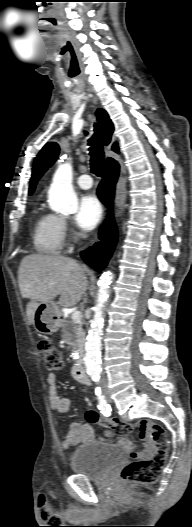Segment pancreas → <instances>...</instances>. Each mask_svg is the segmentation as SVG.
<instances>
[{"label":"pancreas","mask_w":192,"mask_h":527,"mask_svg":"<svg viewBox=\"0 0 192 527\" xmlns=\"http://www.w3.org/2000/svg\"><path fill=\"white\" fill-rule=\"evenodd\" d=\"M62 337L74 349L81 348L85 342V333L81 324H76L72 320H64L62 322Z\"/></svg>","instance_id":"cf45deb5"}]
</instances>
